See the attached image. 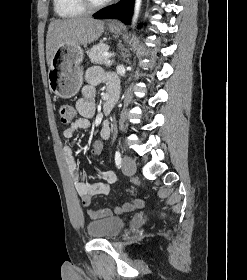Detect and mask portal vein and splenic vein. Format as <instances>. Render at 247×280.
<instances>
[{
    "instance_id": "portal-vein-and-splenic-vein-1",
    "label": "portal vein and splenic vein",
    "mask_w": 247,
    "mask_h": 280,
    "mask_svg": "<svg viewBox=\"0 0 247 280\" xmlns=\"http://www.w3.org/2000/svg\"><path fill=\"white\" fill-rule=\"evenodd\" d=\"M108 56H110V55H108ZM112 62H113V60H111V59L105 60V63H106V64H111Z\"/></svg>"
}]
</instances>
